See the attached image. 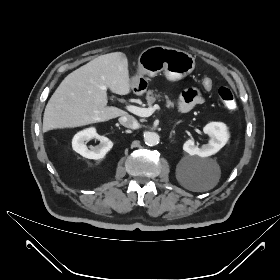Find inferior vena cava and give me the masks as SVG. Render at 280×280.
I'll use <instances>...</instances> for the list:
<instances>
[{"instance_id":"obj_1","label":"inferior vena cava","mask_w":280,"mask_h":280,"mask_svg":"<svg viewBox=\"0 0 280 280\" xmlns=\"http://www.w3.org/2000/svg\"><path fill=\"white\" fill-rule=\"evenodd\" d=\"M119 122L123 126H125L127 128H131V129H137L139 126L138 121L132 115L121 116L119 118Z\"/></svg>"}]
</instances>
